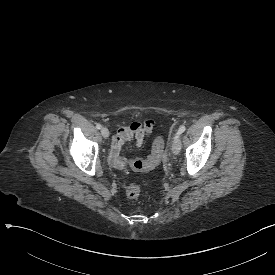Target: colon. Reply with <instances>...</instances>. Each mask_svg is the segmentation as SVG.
<instances>
[{"label": "colon", "mask_w": 275, "mask_h": 275, "mask_svg": "<svg viewBox=\"0 0 275 275\" xmlns=\"http://www.w3.org/2000/svg\"><path fill=\"white\" fill-rule=\"evenodd\" d=\"M162 138L157 137L156 141L153 145V150L150 151V156L148 157V160L145 159H139V160H130L128 162V167L130 169H136L137 171H147L149 169H152L153 166H156L159 161V155L163 153V142L161 141ZM142 191V186L139 184H130L126 187V195L128 198L136 199L139 197Z\"/></svg>", "instance_id": "5ec220e1"}]
</instances>
